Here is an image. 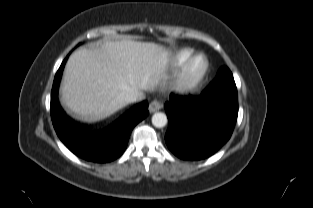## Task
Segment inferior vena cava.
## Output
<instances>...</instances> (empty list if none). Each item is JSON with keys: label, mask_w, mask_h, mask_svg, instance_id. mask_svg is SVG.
<instances>
[{"label": "inferior vena cava", "mask_w": 313, "mask_h": 208, "mask_svg": "<svg viewBox=\"0 0 313 208\" xmlns=\"http://www.w3.org/2000/svg\"><path fill=\"white\" fill-rule=\"evenodd\" d=\"M139 99V93L135 89H127L120 95V100L124 103L136 102Z\"/></svg>", "instance_id": "1"}]
</instances>
